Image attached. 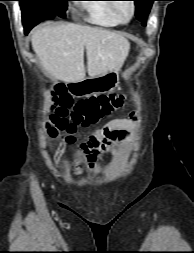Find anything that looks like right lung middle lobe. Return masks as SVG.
<instances>
[{
  "instance_id": "dd1d6c3e",
  "label": "right lung middle lobe",
  "mask_w": 194,
  "mask_h": 253,
  "mask_svg": "<svg viewBox=\"0 0 194 253\" xmlns=\"http://www.w3.org/2000/svg\"><path fill=\"white\" fill-rule=\"evenodd\" d=\"M22 11V21L33 26L54 18H64L69 0H18Z\"/></svg>"
}]
</instances>
